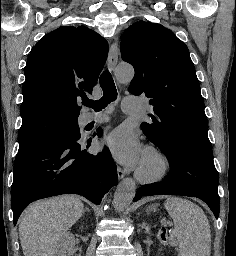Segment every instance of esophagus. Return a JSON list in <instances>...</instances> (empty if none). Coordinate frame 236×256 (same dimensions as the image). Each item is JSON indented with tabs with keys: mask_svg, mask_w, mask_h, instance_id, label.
<instances>
[{
	"mask_svg": "<svg viewBox=\"0 0 236 256\" xmlns=\"http://www.w3.org/2000/svg\"><path fill=\"white\" fill-rule=\"evenodd\" d=\"M117 61H118V45H117V42L115 41L112 43L110 47L109 55H108V67L110 70L114 71L117 65ZM117 174L119 179H122L125 176V173L122 170V168H120V166L117 167Z\"/></svg>",
	"mask_w": 236,
	"mask_h": 256,
	"instance_id": "obj_1",
	"label": "esophagus"
}]
</instances>
